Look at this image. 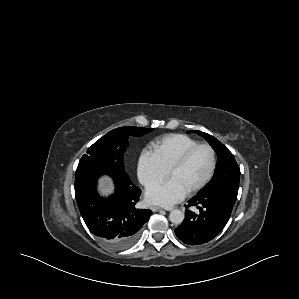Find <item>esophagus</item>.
<instances>
[{
    "instance_id": "obj_1",
    "label": "esophagus",
    "mask_w": 299,
    "mask_h": 299,
    "mask_svg": "<svg viewBox=\"0 0 299 299\" xmlns=\"http://www.w3.org/2000/svg\"><path fill=\"white\" fill-rule=\"evenodd\" d=\"M151 210H152L153 212H158V211L162 210V208H161V207H158V206H152V207H151Z\"/></svg>"
}]
</instances>
